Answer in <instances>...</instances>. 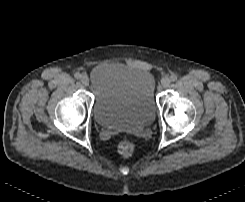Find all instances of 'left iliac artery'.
Returning <instances> with one entry per match:
<instances>
[{"mask_svg":"<svg viewBox=\"0 0 245 202\" xmlns=\"http://www.w3.org/2000/svg\"><path fill=\"white\" fill-rule=\"evenodd\" d=\"M170 80L173 81V82L176 81L177 80V76L175 74L171 75Z\"/></svg>","mask_w":245,"mask_h":202,"instance_id":"left-iliac-artery-1","label":"left iliac artery"}]
</instances>
